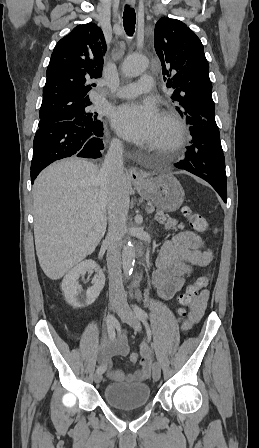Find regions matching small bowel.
<instances>
[{"label":"small bowel","mask_w":259,"mask_h":448,"mask_svg":"<svg viewBox=\"0 0 259 448\" xmlns=\"http://www.w3.org/2000/svg\"><path fill=\"white\" fill-rule=\"evenodd\" d=\"M213 259V253L206 246L205 241L195 233L184 231L175 235L171 240L164 242L156 260L157 269L153 273L152 283L158 295L171 299L182 290L184 276L190 273L193 265L207 266ZM209 292L204 290L191 307L188 319L183 323L182 329L188 330L202 318ZM129 346L124 334L117 339L103 338L100 345L99 361L108 368L107 376L111 381L142 382L150 377L151 358L146 345L141 349V368L134 373L125 374L121 370L111 367V358L114 356H127Z\"/></svg>","instance_id":"c3829d8e"}]
</instances>
